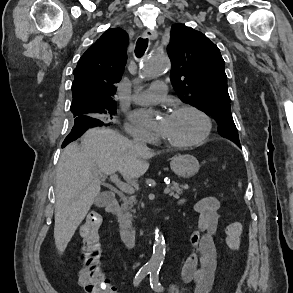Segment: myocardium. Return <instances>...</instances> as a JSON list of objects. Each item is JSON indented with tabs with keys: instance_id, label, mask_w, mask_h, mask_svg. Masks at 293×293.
I'll use <instances>...</instances> for the list:
<instances>
[{
	"instance_id": "f54148a6",
	"label": "myocardium",
	"mask_w": 293,
	"mask_h": 293,
	"mask_svg": "<svg viewBox=\"0 0 293 293\" xmlns=\"http://www.w3.org/2000/svg\"><path fill=\"white\" fill-rule=\"evenodd\" d=\"M182 111H191L195 114H197L203 121L204 123V129L202 134L192 140V141H187V142H176V141H172V140H167L164 139L163 142L165 143V145L169 146V147H174V148H188V147H194V146H198L200 144H202L203 142H205L211 132H212V121L211 118L201 109H199L198 107L194 106V105H190V104H182L179 105L177 107H175L172 111V113H178V112H182Z\"/></svg>"
}]
</instances>
